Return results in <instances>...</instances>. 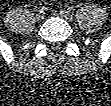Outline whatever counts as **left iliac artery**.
<instances>
[{
    "instance_id": "44dca946",
    "label": "left iliac artery",
    "mask_w": 111,
    "mask_h": 106,
    "mask_svg": "<svg viewBox=\"0 0 111 106\" xmlns=\"http://www.w3.org/2000/svg\"><path fill=\"white\" fill-rule=\"evenodd\" d=\"M73 11H74V8H73V7H69V8H68V12L73 13Z\"/></svg>"
}]
</instances>
